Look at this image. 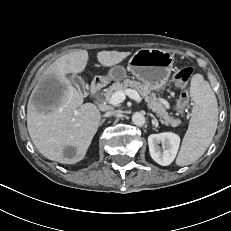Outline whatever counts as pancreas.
<instances>
[{
    "label": "pancreas",
    "mask_w": 231,
    "mask_h": 231,
    "mask_svg": "<svg viewBox=\"0 0 231 231\" xmlns=\"http://www.w3.org/2000/svg\"><path fill=\"white\" fill-rule=\"evenodd\" d=\"M128 88L134 89L147 102L149 109H151L159 118L162 124L176 127L181 123L180 119H175L166 111L162 102L156 98L155 93L151 92V88L143 83L135 80L125 79L123 82H115L104 90V97L109 102L110 97L117 91H125Z\"/></svg>",
    "instance_id": "obj_1"
}]
</instances>
